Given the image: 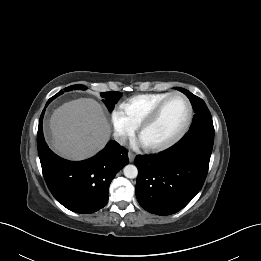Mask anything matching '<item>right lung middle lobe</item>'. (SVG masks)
<instances>
[{
    "label": "right lung middle lobe",
    "instance_id": "obj_1",
    "mask_svg": "<svg viewBox=\"0 0 261 261\" xmlns=\"http://www.w3.org/2000/svg\"><path fill=\"white\" fill-rule=\"evenodd\" d=\"M75 88L76 89H82V90H86L87 89V87L84 86V85H72V86H69V87L65 88L64 90L65 91H70V90H73ZM62 93H63V91H60L54 97H57V96H59ZM101 95L104 98L103 102L107 106L108 110L112 111L114 109L115 104L120 99L122 93L116 92V91H111V92L101 93Z\"/></svg>",
    "mask_w": 261,
    "mask_h": 261
}]
</instances>
